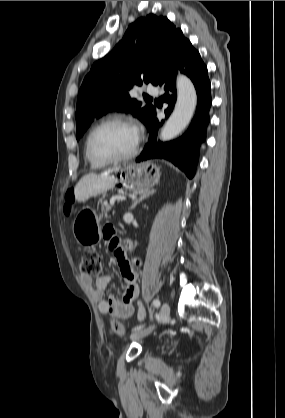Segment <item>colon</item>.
<instances>
[{
  "instance_id": "colon-1",
  "label": "colon",
  "mask_w": 285,
  "mask_h": 418,
  "mask_svg": "<svg viewBox=\"0 0 285 418\" xmlns=\"http://www.w3.org/2000/svg\"><path fill=\"white\" fill-rule=\"evenodd\" d=\"M68 194L69 193H67V195ZM68 202H70V201L68 200ZM70 209H71V207H70V204L68 203L64 207L65 213L67 215L69 214ZM115 256L118 259L124 258L123 249L118 248L115 251ZM77 267H78V271H79V273L82 277L93 278V277L98 276L101 272V261H100L99 256L95 252L88 251V252H85L81 255L80 259L78 260ZM110 330L112 332H115V333H118V334L125 333V329L122 326V324L115 319H112V321H111Z\"/></svg>"
}]
</instances>
